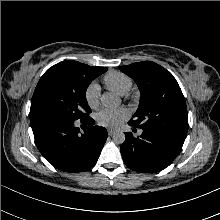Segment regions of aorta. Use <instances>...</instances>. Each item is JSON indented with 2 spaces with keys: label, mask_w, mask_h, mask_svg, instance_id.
I'll return each instance as SVG.
<instances>
[{
  "label": "aorta",
  "mask_w": 220,
  "mask_h": 220,
  "mask_svg": "<svg viewBox=\"0 0 220 220\" xmlns=\"http://www.w3.org/2000/svg\"><path fill=\"white\" fill-rule=\"evenodd\" d=\"M119 99L112 94L104 93L101 96V103L107 108L114 107L119 104ZM113 140L117 144H122L125 141V134L122 131H117L113 134Z\"/></svg>",
  "instance_id": "obj_1"
}]
</instances>
